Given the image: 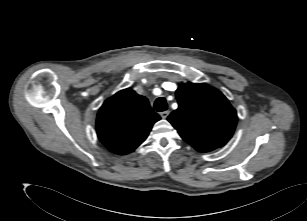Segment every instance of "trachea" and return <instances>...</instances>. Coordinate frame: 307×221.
<instances>
[{"label": "trachea", "instance_id": "3493384b", "mask_svg": "<svg viewBox=\"0 0 307 221\" xmlns=\"http://www.w3.org/2000/svg\"><path fill=\"white\" fill-rule=\"evenodd\" d=\"M167 109V102L164 97H159L154 103V110L157 112H162Z\"/></svg>", "mask_w": 307, "mask_h": 221}]
</instances>
